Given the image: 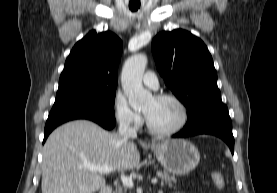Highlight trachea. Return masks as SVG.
Masks as SVG:
<instances>
[{
	"instance_id": "obj_1",
	"label": "trachea",
	"mask_w": 277,
	"mask_h": 193,
	"mask_svg": "<svg viewBox=\"0 0 277 193\" xmlns=\"http://www.w3.org/2000/svg\"><path fill=\"white\" fill-rule=\"evenodd\" d=\"M139 7L140 6H133V5L129 6L131 11H137Z\"/></svg>"
}]
</instances>
